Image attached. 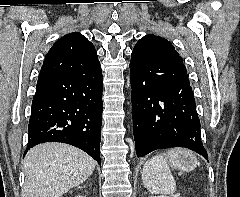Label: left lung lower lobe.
Returning a JSON list of instances; mask_svg holds the SVG:
<instances>
[{
	"label": "left lung lower lobe",
	"mask_w": 240,
	"mask_h": 197,
	"mask_svg": "<svg viewBox=\"0 0 240 197\" xmlns=\"http://www.w3.org/2000/svg\"><path fill=\"white\" fill-rule=\"evenodd\" d=\"M136 154L189 148L208 160L189 79L170 72L130 68Z\"/></svg>",
	"instance_id": "1"
}]
</instances>
